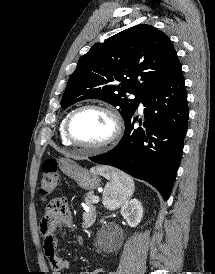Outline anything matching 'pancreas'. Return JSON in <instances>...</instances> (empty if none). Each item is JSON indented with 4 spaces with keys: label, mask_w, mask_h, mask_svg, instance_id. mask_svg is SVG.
<instances>
[{
    "label": "pancreas",
    "mask_w": 215,
    "mask_h": 274,
    "mask_svg": "<svg viewBox=\"0 0 215 274\" xmlns=\"http://www.w3.org/2000/svg\"><path fill=\"white\" fill-rule=\"evenodd\" d=\"M93 197H94V195L91 192H89L86 194V197L84 198L85 204L88 207V211H85L83 214L84 219H85V226H90L95 221L96 206L94 205L95 202H93Z\"/></svg>",
    "instance_id": "cf45deb5"
}]
</instances>
